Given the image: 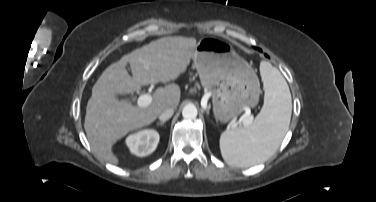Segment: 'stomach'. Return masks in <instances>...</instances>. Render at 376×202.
Segmentation results:
<instances>
[{
  "mask_svg": "<svg viewBox=\"0 0 376 202\" xmlns=\"http://www.w3.org/2000/svg\"><path fill=\"white\" fill-rule=\"evenodd\" d=\"M193 61L203 88L211 92L216 119L225 122L245 106L254 107L260 95L259 80L248 62L218 38H202Z\"/></svg>",
  "mask_w": 376,
  "mask_h": 202,
  "instance_id": "0dacf381",
  "label": "stomach"
}]
</instances>
